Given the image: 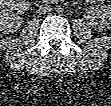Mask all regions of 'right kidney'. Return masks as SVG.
<instances>
[{"instance_id":"ca27d5eb","label":"right kidney","mask_w":111,"mask_h":106,"mask_svg":"<svg viewBox=\"0 0 111 106\" xmlns=\"http://www.w3.org/2000/svg\"><path fill=\"white\" fill-rule=\"evenodd\" d=\"M29 5L25 0H1L0 24L1 31L5 34L16 31L22 24V18L14 10L26 11Z\"/></svg>"}]
</instances>
